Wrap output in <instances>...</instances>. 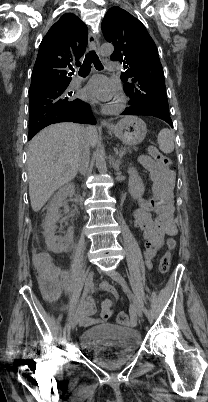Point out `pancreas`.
<instances>
[{"mask_svg":"<svg viewBox=\"0 0 208 402\" xmlns=\"http://www.w3.org/2000/svg\"><path fill=\"white\" fill-rule=\"evenodd\" d=\"M133 150H137V148H133ZM121 152L122 154H125V152H131V148H122Z\"/></svg>","mask_w":208,"mask_h":402,"instance_id":"1","label":"pancreas"}]
</instances>
